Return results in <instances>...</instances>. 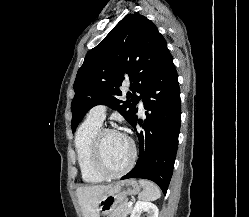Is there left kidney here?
<instances>
[{"instance_id":"5707ae66","label":"left kidney","mask_w":249,"mask_h":217,"mask_svg":"<svg viewBox=\"0 0 249 217\" xmlns=\"http://www.w3.org/2000/svg\"><path fill=\"white\" fill-rule=\"evenodd\" d=\"M146 212L147 217H158L159 210L157 206L151 202L138 201L131 213L130 217H138L140 212Z\"/></svg>"}]
</instances>
